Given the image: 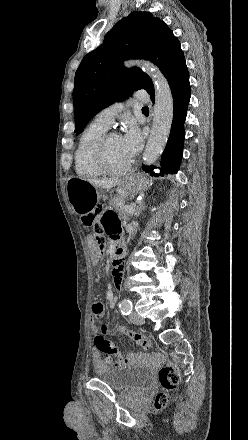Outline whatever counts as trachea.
<instances>
[{"label":"trachea","mask_w":248,"mask_h":440,"mask_svg":"<svg viewBox=\"0 0 248 440\" xmlns=\"http://www.w3.org/2000/svg\"><path fill=\"white\" fill-rule=\"evenodd\" d=\"M142 110H148V107H143Z\"/></svg>","instance_id":"trachea-1"}]
</instances>
